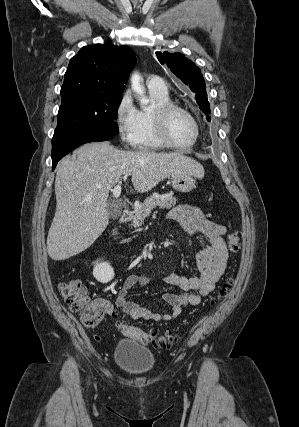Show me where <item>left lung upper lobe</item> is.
Returning <instances> with one entry per match:
<instances>
[{
  "mask_svg": "<svg viewBox=\"0 0 299 427\" xmlns=\"http://www.w3.org/2000/svg\"><path fill=\"white\" fill-rule=\"evenodd\" d=\"M161 64H166L171 71L181 79L192 92L196 93L195 99L199 108L205 113L210 114V105L207 99L205 81L198 66L181 53L164 52L157 53ZM210 121L211 117H206Z\"/></svg>",
  "mask_w": 299,
  "mask_h": 427,
  "instance_id": "1",
  "label": "left lung upper lobe"
}]
</instances>
